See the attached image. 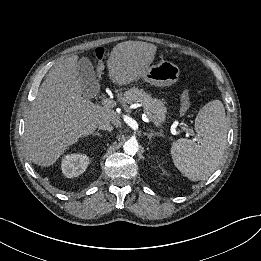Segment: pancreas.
I'll return each instance as SVG.
<instances>
[{"label":"pancreas","mask_w":261,"mask_h":261,"mask_svg":"<svg viewBox=\"0 0 261 261\" xmlns=\"http://www.w3.org/2000/svg\"><path fill=\"white\" fill-rule=\"evenodd\" d=\"M118 100L121 104H132L135 102H142L146 105L147 110L153 116L154 121H164L167 112L164 103L152 96L142 89L130 88L124 93L118 95Z\"/></svg>","instance_id":"pancreas-1"}]
</instances>
